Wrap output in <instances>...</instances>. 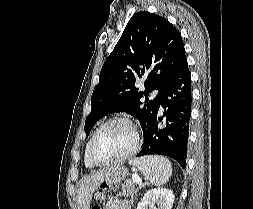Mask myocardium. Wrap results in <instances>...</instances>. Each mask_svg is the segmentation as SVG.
Returning <instances> with one entry per match:
<instances>
[{
  "label": "myocardium",
  "mask_w": 253,
  "mask_h": 209,
  "mask_svg": "<svg viewBox=\"0 0 253 209\" xmlns=\"http://www.w3.org/2000/svg\"><path fill=\"white\" fill-rule=\"evenodd\" d=\"M114 122H123L131 127V129L133 130V134H134L133 145L127 152H125L123 155H121L118 158H115L113 160H108V161H99L96 159V157L94 155V146H95L96 139H97L98 135L100 134V132L107 125L114 123ZM140 144H141V130H140L138 124L136 123V121L127 115L113 116V117L109 118L108 120H106L105 122H103L96 129L94 134L92 135V137L90 139V143H89V150H88L89 159H90V162L92 163V165H94V166H108V165L118 164V163H121V162L127 160L131 156H133L137 152V150L139 149Z\"/></svg>",
  "instance_id": "f54148a6"
}]
</instances>
